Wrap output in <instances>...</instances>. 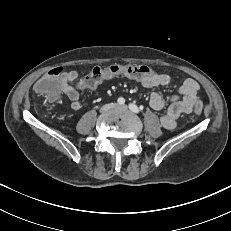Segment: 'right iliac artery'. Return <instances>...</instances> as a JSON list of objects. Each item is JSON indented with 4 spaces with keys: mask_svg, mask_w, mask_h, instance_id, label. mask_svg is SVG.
Returning <instances> with one entry per match:
<instances>
[{
    "mask_svg": "<svg viewBox=\"0 0 231 231\" xmlns=\"http://www.w3.org/2000/svg\"><path fill=\"white\" fill-rule=\"evenodd\" d=\"M117 101H118V103L121 104V105L125 103V99L122 98V97L118 98Z\"/></svg>",
    "mask_w": 231,
    "mask_h": 231,
    "instance_id": "82829eb1",
    "label": "right iliac artery"
}]
</instances>
